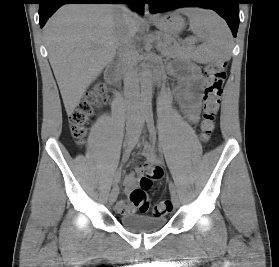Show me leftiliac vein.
I'll list each match as a JSON object with an SVG mask.
<instances>
[{"label": "left iliac vein", "instance_id": "1", "mask_svg": "<svg viewBox=\"0 0 279 267\" xmlns=\"http://www.w3.org/2000/svg\"><path fill=\"white\" fill-rule=\"evenodd\" d=\"M171 200H172L173 206H174L175 208H178L179 205H180V202H179V198H178V196L176 195V193L171 194Z\"/></svg>", "mask_w": 279, "mask_h": 267}]
</instances>
